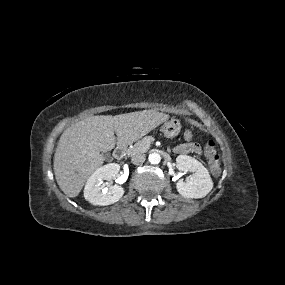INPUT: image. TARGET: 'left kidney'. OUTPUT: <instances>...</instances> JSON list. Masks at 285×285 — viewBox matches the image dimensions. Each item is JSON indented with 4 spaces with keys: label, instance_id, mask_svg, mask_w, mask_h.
I'll list each match as a JSON object with an SVG mask.
<instances>
[{
    "label": "left kidney",
    "instance_id": "1",
    "mask_svg": "<svg viewBox=\"0 0 285 285\" xmlns=\"http://www.w3.org/2000/svg\"><path fill=\"white\" fill-rule=\"evenodd\" d=\"M177 168L180 171L193 172L186 181L177 182V191L186 198H202L213 188V182L208 170L196 159L187 155L176 158Z\"/></svg>",
    "mask_w": 285,
    "mask_h": 285
}]
</instances>
